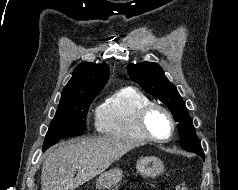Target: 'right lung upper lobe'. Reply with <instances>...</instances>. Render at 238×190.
<instances>
[{
	"label": "right lung upper lobe",
	"instance_id": "right-lung-upper-lobe-1",
	"mask_svg": "<svg viewBox=\"0 0 238 190\" xmlns=\"http://www.w3.org/2000/svg\"><path fill=\"white\" fill-rule=\"evenodd\" d=\"M109 76V67L105 63H82L73 71L72 78L62 90L60 103L85 94H99Z\"/></svg>",
	"mask_w": 238,
	"mask_h": 190
}]
</instances>
